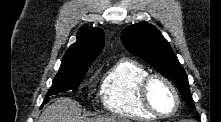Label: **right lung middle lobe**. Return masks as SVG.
<instances>
[{"instance_id":"right-lung-middle-lobe-1","label":"right lung middle lobe","mask_w":221,"mask_h":122,"mask_svg":"<svg viewBox=\"0 0 221 122\" xmlns=\"http://www.w3.org/2000/svg\"><path fill=\"white\" fill-rule=\"evenodd\" d=\"M88 68L81 69L77 71H61L59 70L55 78L53 79V83L51 88L47 93V97L45 98V103L49 100V96L53 94H57L60 92H66L69 90L77 91L80 83L87 73Z\"/></svg>"}]
</instances>
